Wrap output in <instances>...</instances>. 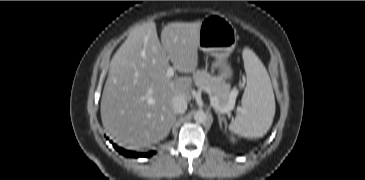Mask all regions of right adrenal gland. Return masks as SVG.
<instances>
[{
	"label": "right adrenal gland",
	"instance_id": "right-adrenal-gland-1",
	"mask_svg": "<svg viewBox=\"0 0 365 180\" xmlns=\"http://www.w3.org/2000/svg\"><path fill=\"white\" fill-rule=\"evenodd\" d=\"M175 122H176V117H175V119H174V123H175ZM174 123H173V125H174ZM173 125H172V126H173Z\"/></svg>",
	"mask_w": 365,
	"mask_h": 180
}]
</instances>
